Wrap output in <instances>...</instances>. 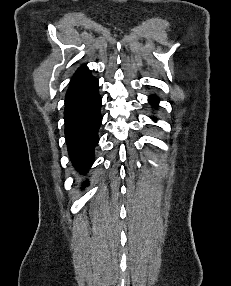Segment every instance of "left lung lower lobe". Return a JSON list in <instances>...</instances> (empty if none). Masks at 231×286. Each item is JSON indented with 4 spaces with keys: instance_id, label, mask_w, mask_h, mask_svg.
I'll return each mask as SVG.
<instances>
[{
    "instance_id": "obj_1",
    "label": "left lung lower lobe",
    "mask_w": 231,
    "mask_h": 286,
    "mask_svg": "<svg viewBox=\"0 0 231 286\" xmlns=\"http://www.w3.org/2000/svg\"><path fill=\"white\" fill-rule=\"evenodd\" d=\"M149 102H150L152 105L156 106V104H157V102H158V99H157V97H155V96H151V97L149 98Z\"/></svg>"
}]
</instances>
